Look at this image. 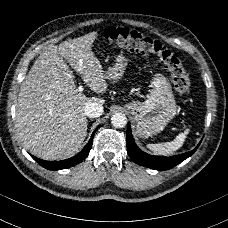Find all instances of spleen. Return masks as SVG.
<instances>
[{
    "instance_id": "3e777b00",
    "label": "spleen",
    "mask_w": 228,
    "mask_h": 228,
    "mask_svg": "<svg viewBox=\"0 0 228 228\" xmlns=\"http://www.w3.org/2000/svg\"><path fill=\"white\" fill-rule=\"evenodd\" d=\"M190 129H185L184 132L178 134L171 142L148 144L147 148L158 155H173V153L183 146V143L189 134Z\"/></svg>"
}]
</instances>
